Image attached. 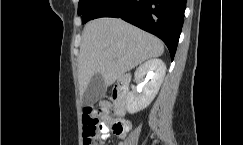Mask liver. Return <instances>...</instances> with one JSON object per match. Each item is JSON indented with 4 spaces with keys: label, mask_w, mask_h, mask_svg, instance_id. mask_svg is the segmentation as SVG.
I'll list each match as a JSON object with an SVG mask.
<instances>
[{
    "label": "liver",
    "mask_w": 243,
    "mask_h": 145,
    "mask_svg": "<svg viewBox=\"0 0 243 145\" xmlns=\"http://www.w3.org/2000/svg\"><path fill=\"white\" fill-rule=\"evenodd\" d=\"M164 45L157 37L116 18H99L86 24L78 56V81L83 96L97 73L106 86L145 60L159 57Z\"/></svg>",
    "instance_id": "obj_1"
}]
</instances>
